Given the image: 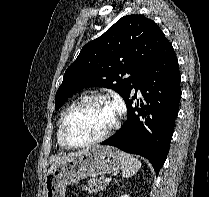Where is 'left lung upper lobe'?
Here are the masks:
<instances>
[{"label":"left lung upper lobe","mask_w":209,"mask_h":197,"mask_svg":"<svg viewBox=\"0 0 209 197\" xmlns=\"http://www.w3.org/2000/svg\"><path fill=\"white\" fill-rule=\"evenodd\" d=\"M166 40L159 26L142 15L120 18L87 43L68 67L56 92V110L73 93L87 87L111 88L125 100Z\"/></svg>","instance_id":"1"}]
</instances>
